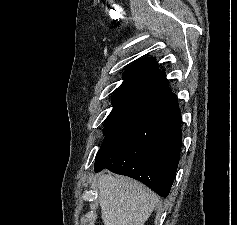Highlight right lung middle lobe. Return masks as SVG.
<instances>
[{
  "mask_svg": "<svg viewBox=\"0 0 237 225\" xmlns=\"http://www.w3.org/2000/svg\"><path fill=\"white\" fill-rule=\"evenodd\" d=\"M122 124L124 123L118 121H107L106 126L104 128L105 138Z\"/></svg>",
  "mask_w": 237,
  "mask_h": 225,
  "instance_id": "right-lung-middle-lobe-1",
  "label": "right lung middle lobe"
}]
</instances>
